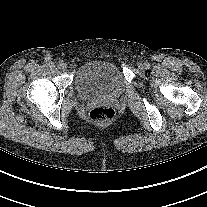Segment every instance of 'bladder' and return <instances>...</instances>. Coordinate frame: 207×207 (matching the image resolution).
I'll return each instance as SVG.
<instances>
[{
  "mask_svg": "<svg viewBox=\"0 0 207 207\" xmlns=\"http://www.w3.org/2000/svg\"><path fill=\"white\" fill-rule=\"evenodd\" d=\"M75 87L84 99L117 97L123 93L125 84L121 71L112 62L93 60L83 64L76 76Z\"/></svg>",
  "mask_w": 207,
  "mask_h": 207,
  "instance_id": "31cf9c89",
  "label": "bladder"
}]
</instances>
